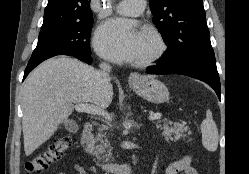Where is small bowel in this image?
<instances>
[{"label":"small bowel","mask_w":249,"mask_h":174,"mask_svg":"<svg viewBox=\"0 0 249 174\" xmlns=\"http://www.w3.org/2000/svg\"><path fill=\"white\" fill-rule=\"evenodd\" d=\"M74 169L79 174H85L82 167L78 164L74 165ZM58 174H65L59 172ZM166 174H198L196 169L191 166V156L189 154L184 155L180 160L172 163L166 170Z\"/></svg>","instance_id":"1"}]
</instances>
